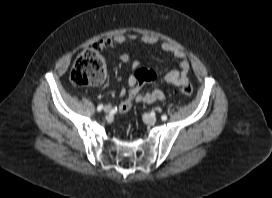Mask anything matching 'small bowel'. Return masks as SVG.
<instances>
[{
    "label": "small bowel",
    "instance_id": "c3829d8e",
    "mask_svg": "<svg viewBox=\"0 0 272 198\" xmlns=\"http://www.w3.org/2000/svg\"><path fill=\"white\" fill-rule=\"evenodd\" d=\"M137 37L133 34L118 35L113 38H105L94 44V48L98 51H103L108 48H112L116 45H121L128 42L136 41ZM140 43L152 45L157 42V39L152 36H144L139 39ZM161 48L164 52L172 55L179 60V68L176 70L169 71L161 78H157L156 73L151 77H141L138 75L140 63L136 60H132L128 55L121 54L120 60L131 66L132 73L129 75L127 84L128 90L122 89L120 92L122 101L120 104L121 112H128L131 108L132 101L141 103H154L156 101L164 100L165 94L161 89V85L168 86H182L188 85V71L189 64L186 60L185 53L180 49L176 48L170 43L162 42ZM145 82H150L152 88L149 92L142 93L141 87Z\"/></svg>",
    "mask_w": 272,
    "mask_h": 198
}]
</instances>
